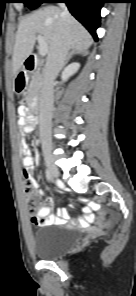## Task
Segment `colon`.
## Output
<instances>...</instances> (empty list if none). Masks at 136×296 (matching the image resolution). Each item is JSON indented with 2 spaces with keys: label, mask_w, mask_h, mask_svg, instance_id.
<instances>
[{
  "label": "colon",
  "mask_w": 136,
  "mask_h": 296,
  "mask_svg": "<svg viewBox=\"0 0 136 296\" xmlns=\"http://www.w3.org/2000/svg\"><path fill=\"white\" fill-rule=\"evenodd\" d=\"M23 191L26 198V208L31 215L32 222L37 220V213L41 208V200L38 198L33 182L30 178L26 177L23 182ZM38 223H42V220H39Z\"/></svg>",
  "instance_id": "colon-1"
}]
</instances>
